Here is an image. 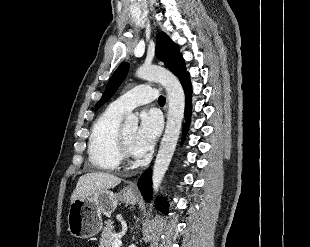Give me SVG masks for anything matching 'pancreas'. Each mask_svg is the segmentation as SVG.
Segmentation results:
<instances>
[{"label": "pancreas", "mask_w": 310, "mask_h": 247, "mask_svg": "<svg viewBox=\"0 0 310 247\" xmlns=\"http://www.w3.org/2000/svg\"><path fill=\"white\" fill-rule=\"evenodd\" d=\"M113 227V222L107 220L105 222V228L102 231L99 247H112V242L120 233H116Z\"/></svg>", "instance_id": "1"}]
</instances>
